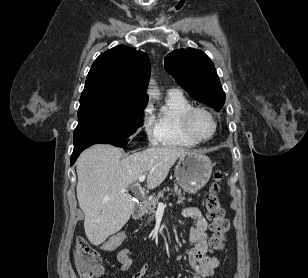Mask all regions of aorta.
I'll use <instances>...</instances> for the list:
<instances>
[{"mask_svg":"<svg viewBox=\"0 0 308 278\" xmlns=\"http://www.w3.org/2000/svg\"><path fill=\"white\" fill-rule=\"evenodd\" d=\"M148 94H149L150 96L156 95V93H155L152 89H150V87H149V89H148Z\"/></svg>","mask_w":308,"mask_h":278,"instance_id":"aorta-1","label":"aorta"}]
</instances>
